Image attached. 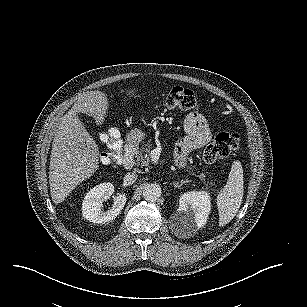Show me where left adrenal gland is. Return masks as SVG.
Listing matches in <instances>:
<instances>
[{
	"instance_id": "obj_1",
	"label": "left adrenal gland",
	"mask_w": 307,
	"mask_h": 307,
	"mask_svg": "<svg viewBox=\"0 0 307 307\" xmlns=\"http://www.w3.org/2000/svg\"><path fill=\"white\" fill-rule=\"evenodd\" d=\"M190 180H181L180 184L178 182L173 183L175 188H180L184 183H188Z\"/></svg>"
}]
</instances>
